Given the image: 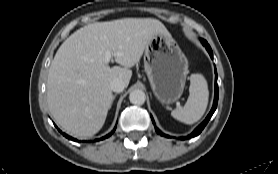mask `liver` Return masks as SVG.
Returning <instances> with one entry per match:
<instances>
[{
	"instance_id": "obj_1",
	"label": "liver",
	"mask_w": 278,
	"mask_h": 174,
	"mask_svg": "<svg viewBox=\"0 0 278 174\" xmlns=\"http://www.w3.org/2000/svg\"><path fill=\"white\" fill-rule=\"evenodd\" d=\"M157 33L170 34L157 19L123 18L88 24L71 34L48 73L47 102L55 121L80 138L100 131L113 102L110 82L119 78L128 86L129 68L139 62ZM108 51L123 67L108 65Z\"/></svg>"
}]
</instances>
